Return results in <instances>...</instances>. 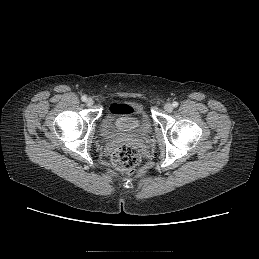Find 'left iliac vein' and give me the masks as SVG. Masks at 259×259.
<instances>
[{"instance_id": "obj_1", "label": "left iliac vein", "mask_w": 259, "mask_h": 259, "mask_svg": "<svg viewBox=\"0 0 259 259\" xmlns=\"http://www.w3.org/2000/svg\"><path fill=\"white\" fill-rule=\"evenodd\" d=\"M164 110H165L166 112H168V113L172 112V111H173V105L170 104V103L165 104Z\"/></svg>"}]
</instances>
